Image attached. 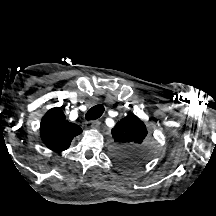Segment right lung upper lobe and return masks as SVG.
<instances>
[{
	"mask_svg": "<svg viewBox=\"0 0 216 216\" xmlns=\"http://www.w3.org/2000/svg\"><path fill=\"white\" fill-rule=\"evenodd\" d=\"M82 129L65 119L61 108L50 109L42 118L40 135L44 144L54 152L69 148L72 139L81 134Z\"/></svg>",
	"mask_w": 216,
	"mask_h": 216,
	"instance_id": "cb5924a9",
	"label": "right lung upper lobe"
}]
</instances>
